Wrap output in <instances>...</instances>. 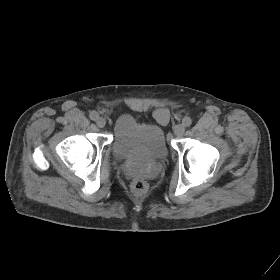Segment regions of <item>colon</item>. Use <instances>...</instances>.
Listing matches in <instances>:
<instances>
[{
  "mask_svg": "<svg viewBox=\"0 0 280 280\" xmlns=\"http://www.w3.org/2000/svg\"><path fill=\"white\" fill-rule=\"evenodd\" d=\"M148 185L142 179H136L132 183V189L136 194H143L147 191Z\"/></svg>",
  "mask_w": 280,
  "mask_h": 280,
  "instance_id": "obj_1",
  "label": "colon"
}]
</instances>
